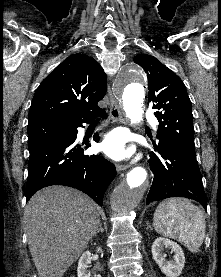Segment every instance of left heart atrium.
Segmentation results:
<instances>
[{"mask_svg":"<svg viewBox=\"0 0 221 277\" xmlns=\"http://www.w3.org/2000/svg\"><path fill=\"white\" fill-rule=\"evenodd\" d=\"M101 148L103 152L115 160L128 157L131 149L127 146V137L120 130H113L105 135Z\"/></svg>","mask_w":221,"mask_h":277,"instance_id":"39dd6f15","label":"left heart atrium"}]
</instances>
